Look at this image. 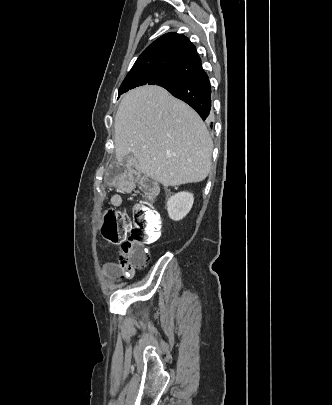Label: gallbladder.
Returning <instances> with one entry per match:
<instances>
[{
	"mask_svg": "<svg viewBox=\"0 0 332 405\" xmlns=\"http://www.w3.org/2000/svg\"><path fill=\"white\" fill-rule=\"evenodd\" d=\"M128 159H133V161L136 162V159L133 158V156H128Z\"/></svg>",
	"mask_w": 332,
	"mask_h": 405,
	"instance_id": "obj_1",
	"label": "gallbladder"
}]
</instances>
